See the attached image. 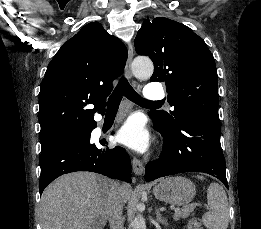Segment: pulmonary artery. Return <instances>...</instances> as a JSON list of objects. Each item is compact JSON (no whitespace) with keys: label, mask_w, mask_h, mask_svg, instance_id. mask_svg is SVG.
<instances>
[{"label":"pulmonary artery","mask_w":261,"mask_h":229,"mask_svg":"<svg viewBox=\"0 0 261 229\" xmlns=\"http://www.w3.org/2000/svg\"><path fill=\"white\" fill-rule=\"evenodd\" d=\"M147 93H145V97L149 99H160L163 95L162 84H148Z\"/></svg>","instance_id":"1"}]
</instances>
